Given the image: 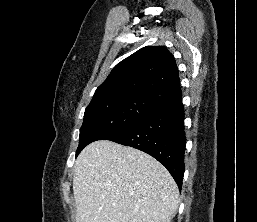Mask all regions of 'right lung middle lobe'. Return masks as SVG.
Masks as SVG:
<instances>
[{
    "label": "right lung middle lobe",
    "instance_id": "dd1d6c3e",
    "mask_svg": "<svg viewBox=\"0 0 257 222\" xmlns=\"http://www.w3.org/2000/svg\"><path fill=\"white\" fill-rule=\"evenodd\" d=\"M159 107L158 103L145 98L91 101L85 110L83 125L80 128V142L76 156L89 143L110 138Z\"/></svg>",
    "mask_w": 257,
    "mask_h": 222
}]
</instances>
